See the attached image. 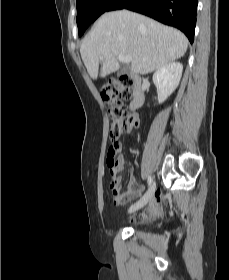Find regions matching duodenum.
<instances>
[{
  "mask_svg": "<svg viewBox=\"0 0 229 280\" xmlns=\"http://www.w3.org/2000/svg\"><path fill=\"white\" fill-rule=\"evenodd\" d=\"M131 77L135 82V86L133 90V99L130 103V109L136 110L145 100V89L142 85L141 77L138 74H131Z\"/></svg>",
  "mask_w": 229,
  "mask_h": 280,
  "instance_id": "410a0bca",
  "label": "duodenum"
}]
</instances>
